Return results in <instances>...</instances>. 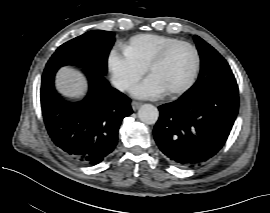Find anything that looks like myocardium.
<instances>
[{"label":"myocardium","mask_w":270,"mask_h":213,"mask_svg":"<svg viewBox=\"0 0 270 213\" xmlns=\"http://www.w3.org/2000/svg\"><path fill=\"white\" fill-rule=\"evenodd\" d=\"M179 46L190 47L195 54L196 62H195V66H194V69L192 71V74L190 76V79L182 87L175 89V90L166 91L165 94L169 97L180 96V95L186 93L188 90H190L193 87V85L195 84L197 76H198L199 68H200V54H199L198 49L196 48L195 45H193L192 43H190L188 41H179V42H176V43L170 45L169 47L164 49L162 52H160L155 58H153L151 60V62L148 65V73L151 74L152 70L157 65H159L161 62H163L164 59L168 56V54L172 50H174L175 48H177Z\"/></svg>","instance_id":"obj_1"}]
</instances>
